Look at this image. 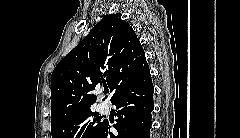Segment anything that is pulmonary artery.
<instances>
[{
  "label": "pulmonary artery",
  "mask_w": 240,
  "mask_h": 138,
  "mask_svg": "<svg viewBox=\"0 0 240 138\" xmlns=\"http://www.w3.org/2000/svg\"><path fill=\"white\" fill-rule=\"evenodd\" d=\"M98 107H99L100 111H102V112H106L108 109V105L105 102L100 103L98 105Z\"/></svg>",
  "instance_id": "obj_1"
}]
</instances>
